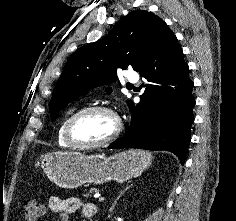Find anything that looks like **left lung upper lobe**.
<instances>
[{
    "mask_svg": "<svg viewBox=\"0 0 236 221\" xmlns=\"http://www.w3.org/2000/svg\"><path fill=\"white\" fill-rule=\"evenodd\" d=\"M167 30V24L153 13L134 11L120 20L105 38L75 51L52 95L51 118L55 121L60 110L80 95L115 81L118 67L132 66L139 71Z\"/></svg>",
    "mask_w": 236,
    "mask_h": 221,
    "instance_id": "left-lung-upper-lobe-1",
    "label": "left lung upper lobe"
}]
</instances>
